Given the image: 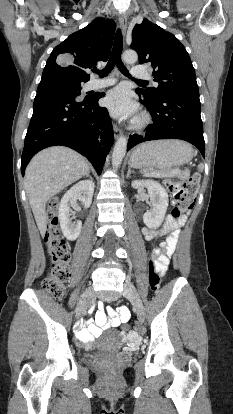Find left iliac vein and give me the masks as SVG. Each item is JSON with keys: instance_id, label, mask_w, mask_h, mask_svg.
Returning a JSON list of instances; mask_svg holds the SVG:
<instances>
[{"instance_id": "left-iliac-vein-1", "label": "left iliac vein", "mask_w": 233, "mask_h": 414, "mask_svg": "<svg viewBox=\"0 0 233 414\" xmlns=\"http://www.w3.org/2000/svg\"><path fill=\"white\" fill-rule=\"evenodd\" d=\"M123 295L129 299L134 307V310L137 314L138 320L140 323H143L145 318V310L143 303L140 299V296L134 287V285L130 282H126L124 284Z\"/></svg>"}]
</instances>
